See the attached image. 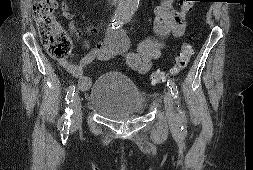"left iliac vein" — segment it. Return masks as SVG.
<instances>
[{
	"mask_svg": "<svg viewBox=\"0 0 253 170\" xmlns=\"http://www.w3.org/2000/svg\"><path fill=\"white\" fill-rule=\"evenodd\" d=\"M164 105H165V111H166V116L167 120L170 126H177L178 121L177 117L175 116L174 113V101H173V96L170 92V90H167L165 92L164 96Z\"/></svg>",
	"mask_w": 253,
	"mask_h": 170,
	"instance_id": "left-iliac-vein-1",
	"label": "left iliac vein"
}]
</instances>
